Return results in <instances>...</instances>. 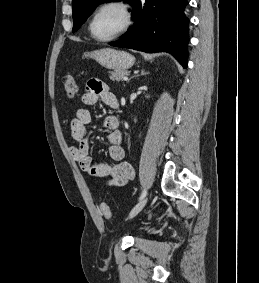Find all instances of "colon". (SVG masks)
Masks as SVG:
<instances>
[{"instance_id": "1", "label": "colon", "mask_w": 259, "mask_h": 283, "mask_svg": "<svg viewBox=\"0 0 259 283\" xmlns=\"http://www.w3.org/2000/svg\"><path fill=\"white\" fill-rule=\"evenodd\" d=\"M64 91L69 98L75 97L77 93V82L72 75L65 76L63 80ZM100 211L105 217L110 216V208L106 203L100 204Z\"/></svg>"}]
</instances>
